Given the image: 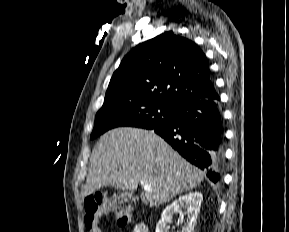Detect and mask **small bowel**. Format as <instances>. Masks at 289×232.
I'll use <instances>...</instances> for the list:
<instances>
[{
    "mask_svg": "<svg viewBox=\"0 0 289 232\" xmlns=\"http://www.w3.org/2000/svg\"><path fill=\"white\" fill-rule=\"evenodd\" d=\"M132 232H149L148 227L144 223H136Z\"/></svg>",
    "mask_w": 289,
    "mask_h": 232,
    "instance_id": "small-bowel-1",
    "label": "small bowel"
}]
</instances>
